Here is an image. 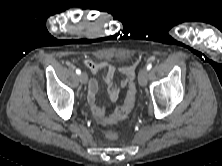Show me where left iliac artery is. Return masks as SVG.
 <instances>
[{
    "mask_svg": "<svg viewBox=\"0 0 222 166\" xmlns=\"http://www.w3.org/2000/svg\"><path fill=\"white\" fill-rule=\"evenodd\" d=\"M147 70L149 71L151 68H152V64L151 63H149L148 65H147Z\"/></svg>",
    "mask_w": 222,
    "mask_h": 166,
    "instance_id": "left-iliac-artery-1",
    "label": "left iliac artery"
}]
</instances>
